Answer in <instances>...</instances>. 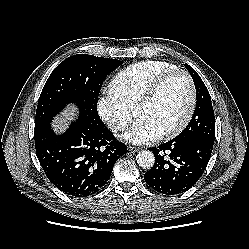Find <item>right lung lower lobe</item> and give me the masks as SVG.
<instances>
[{
	"mask_svg": "<svg viewBox=\"0 0 249 249\" xmlns=\"http://www.w3.org/2000/svg\"><path fill=\"white\" fill-rule=\"evenodd\" d=\"M36 154L50 180L74 197L91 196L109 180L117 159L127 146L114 140L110 130L78 119L61 135L50 125L35 129Z\"/></svg>",
	"mask_w": 249,
	"mask_h": 249,
	"instance_id": "obj_1",
	"label": "right lung lower lobe"
}]
</instances>
